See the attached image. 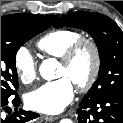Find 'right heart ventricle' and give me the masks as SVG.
<instances>
[{"mask_svg": "<svg viewBox=\"0 0 123 123\" xmlns=\"http://www.w3.org/2000/svg\"><path fill=\"white\" fill-rule=\"evenodd\" d=\"M79 38H81V34L74 30H53L39 39L37 47L46 56L61 58Z\"/></svg>", "mask_w": 123, "mask_h": 123, "instance_id": "1", "label": "right heart ventricle"}]
</instances>
